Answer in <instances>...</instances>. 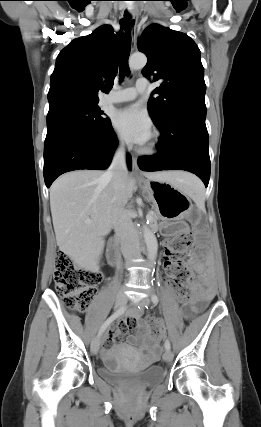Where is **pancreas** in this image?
Returning a JSON list of instances; mask_svg holds the SVG:
<instances>
[{"label": "pancreas", "instance_id": "pancreas-1", "mask_svg": "<svg viewBox=\"0 0 261 427\" xmlns=\"http://www.w3.org/2000/svg\"><path fill=\"white\" fill-rule=\"evenodd\" d=\"M149 215H150V218H149V220L151 221V223H152V227H156L157 226V221H158V219H159V215L157 214V212H155V211H151V212H149Z\"/></svg>", "mask_w": 261, "mask_h": 427}]
</instances>
